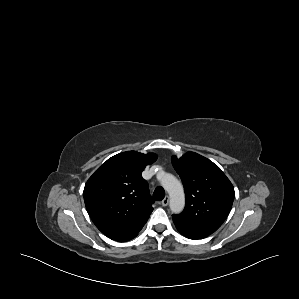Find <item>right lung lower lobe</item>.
I'll return each instance as SVG.
<instances>
[{"mask_svg": "<svg viewBox=\"0 0 299 299\" xmlns=\"http://www.w3.org/2000/svg\"><path fill=\"white\" fill-rule=\"evenodd\" d=\"M134 238V237H133ZM132 239V238H131ZM128 240H130V239H128ZM128 240H125V241H128ZM122 242H124V241H122Z\"/></svg>", "mask_w": 299, "mask_h": 299, "instance_id": "obj_1", "label": "right lung lower lobe"}]
</instances>
